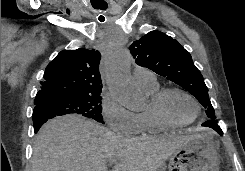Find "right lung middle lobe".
Wrapping results in <instances>:
<instances>
[{
	"label": "right lung middle lobe",
	"mask_w": 245,
	"mask_h": 171,
	"mask_svg": "<svg viewBox=\"0 0 245 171\" xmlns=\"http://www.w3.org/2000/svg\"><path fill=\"white\" fill-rule=\"evenodd\" d=\"M102 97L97 95H80V96H55L47 97L38 106L47 108L55 116L75 113L92 118L98 122H103L101 115Z\"/></svg>",
	"instance_id": "obj_1"
}]
</instances>
